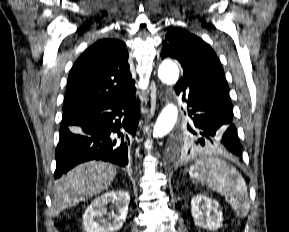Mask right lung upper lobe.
<instances>
[{"label":"right lung upper lobe","instance_id":"right-lung-upper-lobe-1","mask_svg":"<svg viewBox=\"0 0 289 232\" xmlns=\"http://www.w3.org/2000/svg\"><path fill=\"white\" fill-rule=\"evenodd\" d=\"M124 42L102 39L89 47L68 77L64 112L113 101L135 90Z\"/></svg>","mask_w":289,"mask_h":232}]
</instances>
